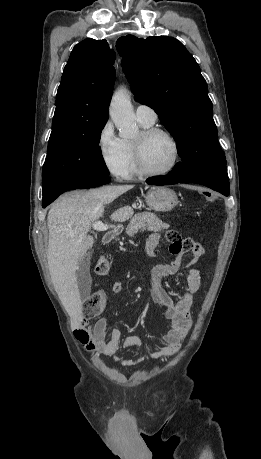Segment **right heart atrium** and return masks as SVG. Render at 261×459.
Masks as SVG:
<instances>
[{
    "instance_id": "obj_1",
    "label": "right heart atrium",
    "mask_w": 261,
    "mask_h": 459,
    "mask_svg": "<svg viewBox=\"0 0 261 459\" xmlns=\"http://www.w3.org/2000/svg\"><path fill=\"white\" fill-rule=\"evenodd\" d=\"M97 149L105 168L113 176L123 177L128 167V160L122 139L116 134L111 121L105 122L99 130Z\"/></svg>"
}]
</instances>
